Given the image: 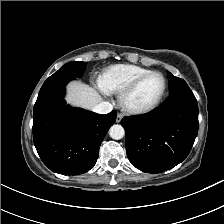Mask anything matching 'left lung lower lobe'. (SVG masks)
Returning a JSON list of instances; mask_svg holds the SVG:
<instances>
[{"label":"left lung lower lobe","mask_w":224,"mask_h":224,"mask_svg":"<svg viewBox=\"0 0 224 224\" xmlns=\"http://www.w3.org/2000/svg\"><path fill=\"white\" fill-rule=\"evenodd\" d=\"M121 124L132 165L143 172L160 173L188 156L198 132L197 100L185 86L170 93L152 113L125 117Z\"/></svg>","instance_id":"0a47b994"}]
</instances>
